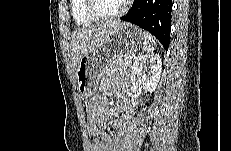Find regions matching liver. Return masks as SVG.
I'll list each match as a JSON object with an SVG mask.
<instances>
[{
	"label": "liver",
	"mask_w": 231,
	"mask_h": 151,
	"mask_svg": "<svg viewBox=\"0 0 231 151\" xmlns=\"http://www.w3.org/2000/svg\"><path fill=\"white\" fill-rule=\"evenodd\" d=\"M119 22L105 23L96 27L78 28L72 33L70 50L74 69L81 58L105 43Z\"/></svg>",
	"instance_id": "1"
}]
</instances>
